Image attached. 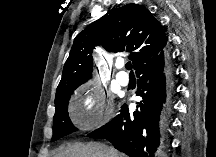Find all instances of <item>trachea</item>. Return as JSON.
<instances>
[{"label":"trachea","instance_id":"trachea-1","mask_svg":"<svg viewBox=\"0 0 216 157\" xmlns=\"http://www.w3.org/2000/svg\"><path fill=\"white\" fill-rule=\"evenodd\" d=\"M125 66H126V69L130 71V73H133L131 62H127Z\"/></svg>","mask_w":216,"mask_h":157}]
</instances>
